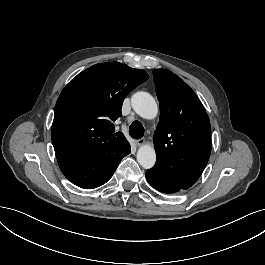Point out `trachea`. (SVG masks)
Returning <instances> with one entry per match:
<instances>
[{
	"mask_svg": "<svg viewBox=\"0 0 265 265\" xmlns=\"http://www.w3.org/2000/svg\"><path fill=\"white\" fill-rule=\"evenodd\" d=\"M144 127L139 121H134L129 127V134L133 139H140L144 135Z\"/></svg>",
	"mask_w": 265,
	"mask_h": 265,
	"instance_id": "trachea-1",
	"label": "trachea"
}]
</instances>
